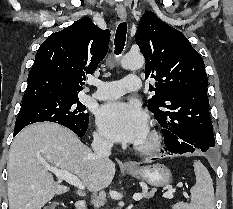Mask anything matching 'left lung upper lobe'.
I'll list each match as a JSON object with an SVG mask.
<instances>
[{"label": "left lung upper lobe", "instance_id": "5c2ea615", "mask_svg": "<svg viewBox=\"0 0 233 209\" xmlns=\"http://www.w3.org/2000/svg\"><path fill=\"white\" fill-rule=\"evenodd\" d=\"M135 40L146 60L145 79L157 81L150 85L155 95L148 101V108L159 124L212 148L208 78L200 54L183 33L152 11L140 19Z\"/></svg>", "mask_w": 233, "mask_h": 209}]
</instances>
